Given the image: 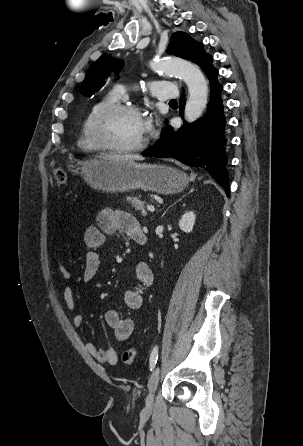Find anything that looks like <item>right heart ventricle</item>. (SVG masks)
Listing matches in <instances>:
<instances>
[{
	"instance_id": "obj_1",
	"label": "right heart ventricle",
	"mask_w": 303,
	"mask_h": 446,
	"mask_svg": "<svg viewBox=\"0 0 303 446\" xmlns=\"http://www.w3.org/2000/svg\"><path fill=\"white\" fill-rule=\"evenodd\" d=\"M119 96L116 92L112 91L104 96H102L100 99H98L90 108L87 115L85 116L80 133L78 136V146L85 151H97L101 148L94 142L92 136H91V123L95 116V114L104 106L112 104V103H118Z\"/></svg>"
}]
</instances>
